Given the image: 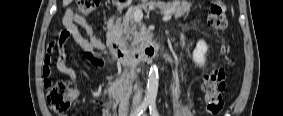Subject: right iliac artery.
I'll return each mask as SVG.
<instances>
[{"instance_id": "right-iliac-artery-1", "label": "right iliac artery", "mask_w": 283, "mask_h": 116, "mask_svg": "<svg viewBox=\"0 0 283 116\" xmlns=\"http://www.w3.org/2000/svg\"><path fill=\"white\" fill-rule=\"evenodd\" d=\"M148 106V103L147 102H143L137 109L136 111L131 114V116H140L143 111H145L146 107ZM125 115V114H124Z\"/></svg>"}]
</instances>
